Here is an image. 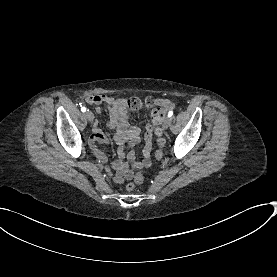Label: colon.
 Wrapping results in <instances>:
<instances>
[{
	"instance_id": "colon-1",
	"label": "colon",
	"mask_w": 277,
	"mask_h": 277,
	"mask_svg": "<svg viewBox=\"0 0 277 277\" xmlns=\"http://www.w3.org/2000/svg\"><path fill=\"white\" fill-rule=\"evenodd\" d=\"M128 105L132 110H138L141 107H146V108H153L155 105V101L151 98H146V99H139L136 97H132L128 100ZM164 115H165V110L161 107H154L152 111V121L155 126V131L157 134V142L159 149L157 150L155 157L157 159H160L162 157V147L164 145V138H163V133L161 130L162 123L164 120ZM145 176L142 173H138L135 175L134 179L132 182H130L127 186L129 190L133 189L135 184H142L145 182Z\"/></svg>"
}]
</instances>
